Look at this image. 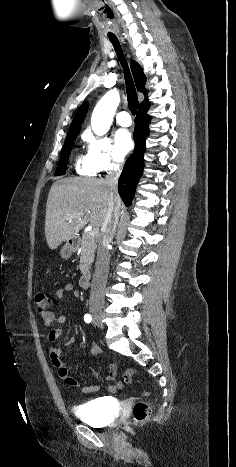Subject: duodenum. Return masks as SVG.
<instances>
[{
	"instance_id": "duodenum-1",
	"label": "duodenum",
	"mask_w": 236,
	"mask_h": 467,
	"mask_svg": "<svg viewBox=\"0 0 236 467\" xmlns=\"http://www.w3.org/2000/svg\"><path fill=\"white\" fill-rule=\"evenodd\" d=\"M70 246L72 248H75L76 247V241L75 240H71L69 242ZM90 281H91V275L89 272H84L81 277H80V286L82 289H88L89 286H90Z\"/></svg>"
}]
</instances>
